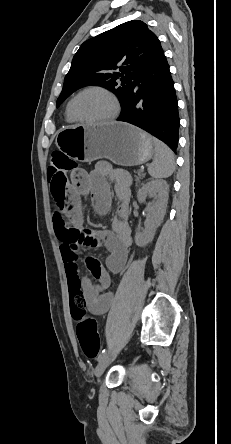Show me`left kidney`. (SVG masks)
I'll list each match as a JSON object with an SVG mask.
<instances>
[{"instance_id": "left-kidney-1", "label": "left kidney", "mask_w": 231, "mask_h": 444, "mask_svg": "<svg viewBox=\"0 0 231 444\" xmlns=\"http://www.w3.org/2000/svg\"><path fill=\"white\" fill-rule=\"evenodd\" d=\"M169 186L165 180H151L144 184L138 191L139 202L143 203L147 197L155 201L148 205L145 229L142 233H136L135 242L138 246H145L154 238L156 229L162 223L168 202Z\"/></svg>"}]
</instances>
